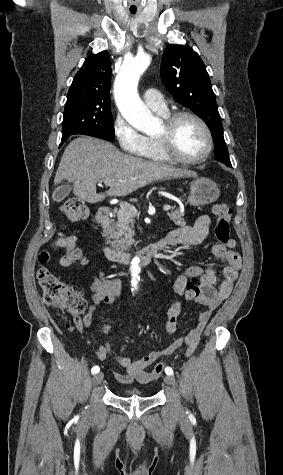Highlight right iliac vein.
<instances>
[{"label":"right iliac vein","instance_id":"obj_1","mask_svg":"<svg viewBox=\"0 0 283 475\" xmlns=\"http://www.w3.org/2000/svg\"><path fill=\"white\" fill-rule=\"evenodd\" d=\"M102 380H103V373H101V372L98 373V374H95L94 377H93V383H94L95 385L101 383Z\"/></svg>","mask_w":283,"mask_h":475}]
</instances>
